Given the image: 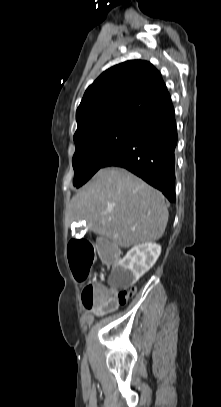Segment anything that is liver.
Masks as SVG:
<instances>
[{"label":"liver","mask_w":221,"mask_h":407,"mask_svg":"<svg viewBox=\"0 0 221 407\" xmlns=\"http://www.w3.org/2000/svg\"><path fill=\"white\" fill-rule=\"evenodd\" d=\"M168 216L161 192L118 167L100 169L71 200V219L125 248L161 238Z\"/></svg>","instance_id":"6515ba94"}]
</instances>
